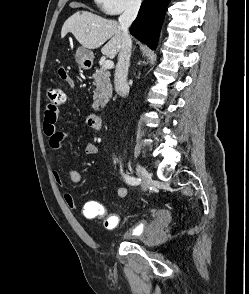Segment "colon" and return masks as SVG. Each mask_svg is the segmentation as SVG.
<instances>
[{"instance_id": "5ec220e1", "label": "colon", "mask_w": 249, "mask_h": 294, "mask_svg": "<svg viewBox=\"0 0 249 294\" xmlns=\"http://www.w3.org/2000/svg\"><path fill=\"white\" fill-rule=\"evenodd\" d=\"M59 72L61 75L66 74V70L63 67H61L59 69ZM47 96H48V105H50V106H58V105L62 104L64 101V92L61 88H58V87L49 88ZM99 211L101 213L104 212L103 206H101L99 208Z\"/></svg>"}]
</instances>
